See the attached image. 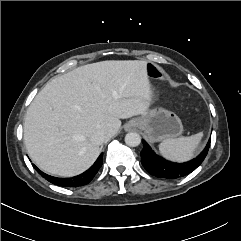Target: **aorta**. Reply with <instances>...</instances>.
<instances>
[{"label": "aorta", "mask_w": 241, "mask_h": 241, "mask_svg": "<svg viewBox=\"0 0 241 241\" xmlns=\"http://www.w3.org/2000/svg\"><path fill=\"white\" fill-rule=\"evenodd\" d=\"M125 143L130 147H136L141 143V136L138 133L130 132L125 136Z\"/></svg>", "instance_id": "1"}]
</instances>
